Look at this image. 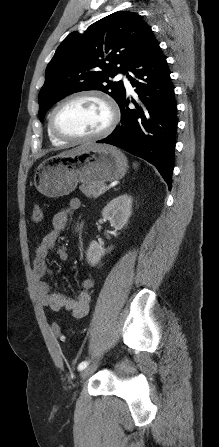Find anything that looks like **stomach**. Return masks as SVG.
<instances>
[{"instance_id": "obj_1", "label": "stomach", "mask_w": 219, "mask_h": 447, "mask_svg": "<svg viewBox=\"0 0 219 447\" xmlns=\"http://www.w3.org/2000/svg\"><path fill=\"white\" fill-rule=\"evenodd\" d=\"M127 158L117 148L93 144L72 156H52L36 169L34 184L47 197L70 194L79 182L104 183L122 178Z\"/></svg>"}]
</instances>
